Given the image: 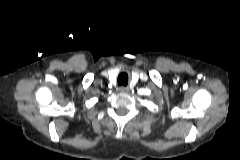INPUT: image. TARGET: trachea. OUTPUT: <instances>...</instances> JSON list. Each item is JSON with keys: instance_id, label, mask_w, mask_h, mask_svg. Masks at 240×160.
Here are the masks:
<instances>
[{"instance_id": "3493384b", "label": "trachea", "mask_w": 240, "mask_h": 160, "mask_svg": "<svg viewBox=\"0 0 240 160\" xmlns=\"http://www.w3.org/2000/svg\"><path fill=\"white\" fill-rule=\"evenodd\" d=\"M128 84V75L126 73H121L118 76V85L126 86Z\"/></svg>"}]
</instances>
